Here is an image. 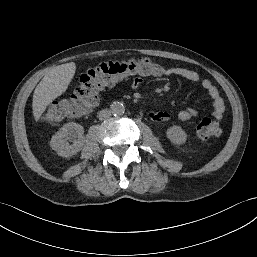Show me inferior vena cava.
I'll return each instance as SVG.
<instances>
[{
  "label": "inferior vena cava",
  "mask_w": 257,
  "mask_h": 257,
  "mask_svg": "<svg viewBox=\"0 0 257 257\" xmlns=\"http://www.w3.org/2000/svg\"><path fill=\"white\" fill-rule=\"evenodd\" d=\"M111 116V111L109 109H103L98 112V117L100 120L107 119Z\"/></svg>",
  "instance_id": "602c4592"
}]
</instances>
